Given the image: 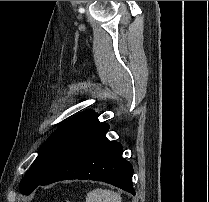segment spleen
<instances>
[{"mask_svg":"<svg viewBox=\"0 0 209 202\" xmlns=\"http://www.w3.org/2000/svg\"><path fill=\"white\" fill-rule=\"evenodd\" d=\"M86 202H121V196L109 189H95L86 196Z\"/></svg>","mask_w":209,"mask_h":202,"instance_id":"spleen-1","label":"spleen"}]
</instances>
